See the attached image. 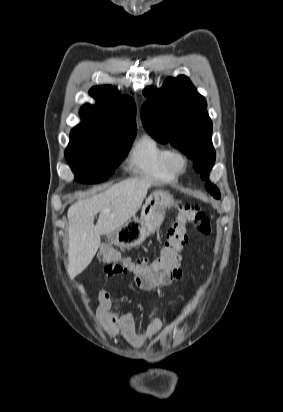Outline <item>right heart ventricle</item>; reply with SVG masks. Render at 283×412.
Masks as SVG:
<instances>
[{
	"mask_svg": "<svg viewBox=\"0 0 283 412\" xmlns=\"http://www.w3.org/2000/svg\"><path fill=\"white\" fill-rule=\"evenodd\" d=\"M170 148L155 137L145 134L141 136L130 150L128 162L138 174L157 181L170 182L176 179L166 165V157Z\"/></svg>",
	"mask_w": 283,
	"mask_h": 412,
	"instance_id": "e07e8e85",
	"label": "right heart ventricle"
}]
</instances>
